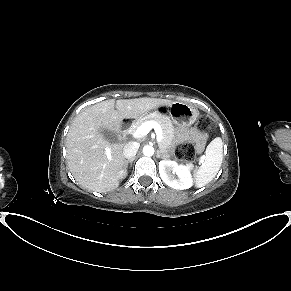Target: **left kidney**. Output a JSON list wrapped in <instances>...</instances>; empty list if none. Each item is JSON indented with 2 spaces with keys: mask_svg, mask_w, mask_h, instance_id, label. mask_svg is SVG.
Returning a JSON list of instances; mask_svg holds the SVG:
<instances>
[{
  "mask_svg": "<svg viewBox=\"0 0 291 291\" xmlns=\"http://www.w3.org/2000/svg\"><path fill=\"white\" fill-rule=\"evenodd\" d=\"M159 173L162 181L171 188L184 190L191 188L193 185V178L188 165H179L175 161L162 160L159 162Z\"/></svg>",
  "mask_w": 291,
  "mask_h": 291,
  "instance_id": "left-kidney-1",
  "label": "left kidney"
}]
</instances>
